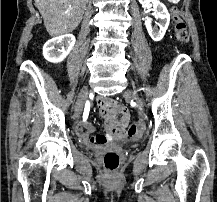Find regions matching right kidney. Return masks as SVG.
Listing matches in <instances>:
<instances>
[{
  "instance_id": "obj_1",
  "label": "right kidney",
  "mask_w": 217,
  "mask_h": 202,
  "mask_svg": "<svg viewBox=\"0 0 217 202\" xmlns=\"http://www.w3.org/2000/svg\"><path fill=\"white\" fill-rule=\"evenodd\" d=\"M75 36L72 34H65V36H59V38H52L48 40L43 46V56L48 62H62L69 52H71L75 44Z\"/></svg>"
}]
</instances>
